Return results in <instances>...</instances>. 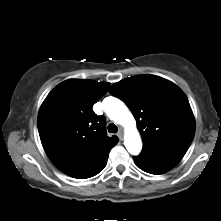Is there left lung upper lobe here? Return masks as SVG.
<instances>
[{
  "mask_svg": "<svg viewBox=\"0 0 221 221\" xmlns=\"http://www.w3.org/2000/svg\"><path fill=\"white\" fill-rule=\"evenodd\" d=\"M109 92L132 111L147 154L186 153L195 120L183 91L155 75H138L111 86Z\"/></svg>",
  "mask_w": 221,
  "mask_h": 221,
  "instance_id": "left-lung-upper-lobe-1",
  "label": "left lung upper lobe"
}]
</instances>
